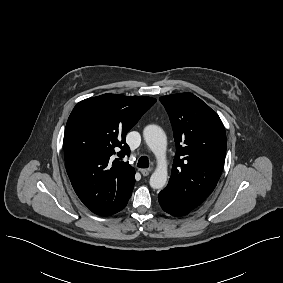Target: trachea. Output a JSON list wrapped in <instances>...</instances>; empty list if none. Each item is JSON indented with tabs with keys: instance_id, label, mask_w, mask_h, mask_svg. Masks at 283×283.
<instances>
[{
	"instance_id": "3493384b",
	"label": "trachea",
	"mask_w": 283,
	"mask_h": 283,
	"mask_svg": "<svg viewBox=\"0 0 283 283\" xmlns=\"http://www.w3.org/2000/svg\"><path fill=\"white\" fill-rule=\"evenodd\" d=\"M137 166L140 168H148L149 167V160L148 157L142 156L139 158Z\"/></svg>"
}]
</instances>
